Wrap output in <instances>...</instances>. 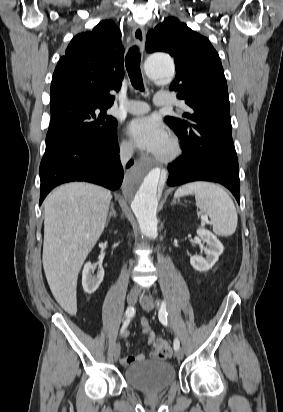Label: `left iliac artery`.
Wrapping results in <instances>:
<instances>
[{"label": "left iliac artery", "mask_w": 283, "mask_h": 412, "mask_svg": "<svg viewBox=\"0 0 283 412\" xmlns=\"http://www.w3.org/2000/svg\"><path fill=\"white\" fill-rule=\"evenodd\" d=\"M167 316H168V313H167L166 303L165 301H161L158 317H159V321L165 326L168 325ZM173 347L175 351L180 348V342L177 338H175L174 340Z\"/></svg>", "instance_id": "1"}]
</instances>
